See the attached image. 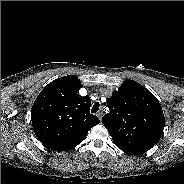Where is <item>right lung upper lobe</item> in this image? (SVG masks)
<instances>
[{
    "mask_svg": "<svg viewBox=\"0 0 184 184\" xmlns=\"http://www.w3.org/2000/svg\"><path fill=\"white\" fill-rule=\"evenodd\" d=\"M82 87L74 75L49 83L36 98L31 120L40 142L49 149L65 151L74 148L99 123L91 115L89 96L79 95Z\"/></svg>",
    "mask_w": 184,
    "mask_h": 184,
    "instance_id": "cb5924a9",
    "label": "right lung upper lobe"
}]
</instances>
